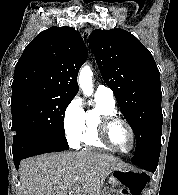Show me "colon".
Segmentation results:
<instances>
[{"label": "colon", "instance_id": "1", "mask_svg": "<svg viewBox=\"0 0 178 195\" xmlns=\"http://www.w3.org/2000/svg\"><path fill=\"white\" fill-rule=\"evenodd\" d=\"M148 180V176L145 173L135 174L129 186L131 194L140 195L141 191L146 186Z\"/></svg>", "mask_w": 178, "mask_h": 195}]
</instances>
